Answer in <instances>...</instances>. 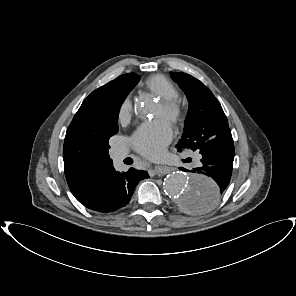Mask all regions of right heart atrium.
I'll return each instance as SVG.
<instances>
[{
	"label": "right heart atrium",
	"instance_id": "right-heart-atrium-1",
	"mask_svg": "<svg viewBox=\"0 0 296 296\" xmlns=\"http://www.w3.org/2000/svg\"><path fill=\"white\" fill-rule=\"evenodd\" d=\"M133 105L130 99H125L118 109V121L120 123H126L132 116Z\"/></svg>",
	"mask_w": 296,
	"mask_h": 296
}]
</instances>
